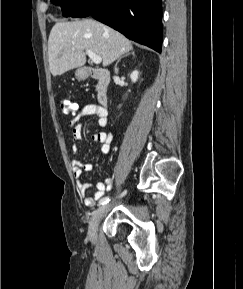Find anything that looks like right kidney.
Instances as JSON below:
<instances>
[{"label": "right kidney", "instance_id": "right-kidney-1", "mask_svg": "<svg viewBox=\"0 0 243 289\" xmlns=\"http://www.w3.org/2000/svg\"><path fill=\"white\" fill-rule=\"evenodd\" d=\"M138 71H133L131 74H130V79H131V81L132 82H136L137 81V79H138Z\"/></svg>", "mask_w": 243, "mask_h": 289}]
</instances>
